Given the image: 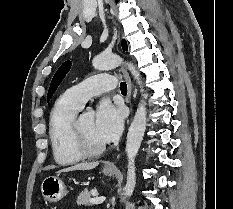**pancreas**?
I'll list each match as a JSON object with an SVG mask.
<instances>
[{
	"label": "pancreas",
	"mask_w": 233,
	"mask_h": 209,
	"mask_svg": "<svg viewBox=\"0 0 233 209\" xmlns=\"http://www.w3.org/2000/svg\"><path fill=\"white\" fill-rule=\"evenodd\" d=\"M91 193L86 188L84 191H82L79 196L77 197V204L78 205H84V206H90V199H91Z\"/></svg>",
	"instance_id": "cf45deb5"
}]
</instances>
